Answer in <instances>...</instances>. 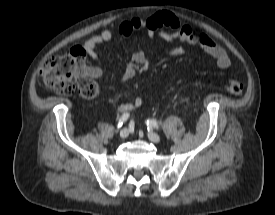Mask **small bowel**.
I'll return each instance as SVG.
<instances>
[{
    "mask_svg": "<svg viewBox=\"0 0 275 215\" xmlns=\"http://www.w3.org/2000/svg\"><path fill=\"white\" fill-rule=\"evenodd\" d=\"M146 31L152 38L160 34L165 38L177 36L184 42L196 44L208 52L216 61L221 69H227L231 65L230 57L227 52L211 37L195 29L190 24H182L179 19L169 12L156 13L148 18L134 17L129 20H123L118 25V33L123 37H128L134 32ZM113 33L109 29L103 30L100 34L91 37L84 44L88 55L97 59V47L103 43L111 41ZM151 62L144 52H136L132 55L131 61L125 66L120 78L123 81L129 80L147 70ZM93 77H104V71L99 67H92L88 70ZM140 97L134 98L130 102L122 103L118 106L119 113H126L142 105Z\"/></svg>",
    "mask_w": 275,
    "mask_h": 215,
    "instance_id": "1",
    "label": "small bowel"
}]
</instances>
